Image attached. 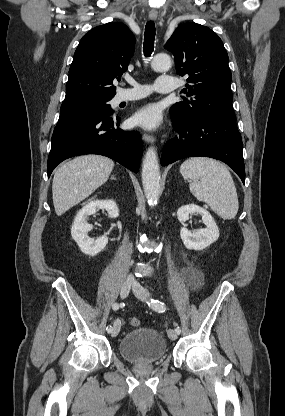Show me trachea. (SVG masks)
<instances>
[{
  "label": "trachea",
  "mask_w": 285,
  "mask_h": 416,
  "mask_svg": "<svg viewBox=\"0 0 285 416\" xmlns=\"http://www.w3.org/2000/svg\"><path fill=\"white\" fill-rule=\"evenodd\" d=\"M155 24L151 20L147 22L144 32V55L150 57L154 49Z\"/></svg>",
  "instance_id": "1"
}]
</instances>
